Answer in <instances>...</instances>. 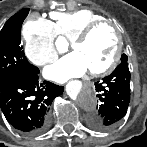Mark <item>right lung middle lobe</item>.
<instances>
[{"mask_svg":"<svg viewBox=\"0 0 147 147\" xmlns=\"http://www.w3.org/2000/svg\"><path fill=\"white\" fill-rule=\"evenodd\" d=\"M29 9H22L13 15L0 31V83L22 73L36 69L24 55L21 43V24Z\"/></svg>","mask_w":147,"mask_h":147,"instance_id":"dd1d6c3e","label":"right lung middle lobe"}]
</instances>
